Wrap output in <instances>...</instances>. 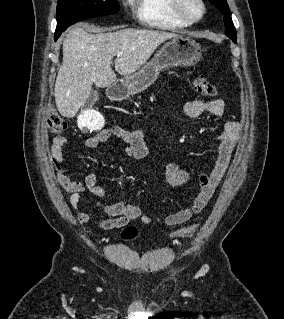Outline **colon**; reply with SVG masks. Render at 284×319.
<instances>
[{
    "label": "colon",
    "instance_id": "obj_1",
    "mask_svg": "<svg viewBox=\"0 0 284 319\" xmlns=\"http://www.w3.org/2000/svg\"><path fill=\"white\" fill-rule=\"evenodd\" d=\"M193 87L199 94L205 97H215L217 95V88L203 75H198L193 82ZM49 130L54 134L62 133L67 128V122L57 113H51L47 120ZM198 224H192L184 228L178 229L170 235V238H185L191 237L198 229ZM138 235L135 227L130 226L123 230L122 238L125 240H133Z\"/></svg>",
    "mask_w": 284,
    "mask_h": 319
}]
</instances>
